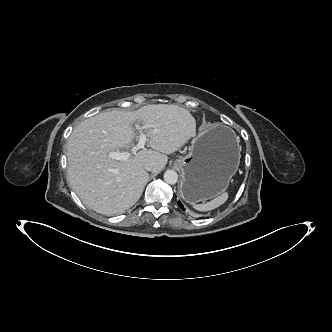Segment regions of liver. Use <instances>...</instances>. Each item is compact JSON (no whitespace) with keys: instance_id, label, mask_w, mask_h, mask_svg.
Wrapping results in <instances>:
<instances>
[{"instance_id":"1","label":"liver","mask_w":332,"mask_h":332,"mask_svg":"<svg viewBox=\"0 0 332 332\" xmlns=\"http://www.w3.org/2000/svg\"><path fill=\"white\" fill-rule=\"evenodd\" d=\"M146 126L148 146L121 161L108 157L119 148L129 150L133 124ZM196 134V121L178 105H146L137 111L113 110L82 121L67 142L68 178L82 202L102 214L123 213L142 195L152 162L159 173L167 155L182 148ZM133 154V155H132Z\"/></svg>"}]
</instances>
